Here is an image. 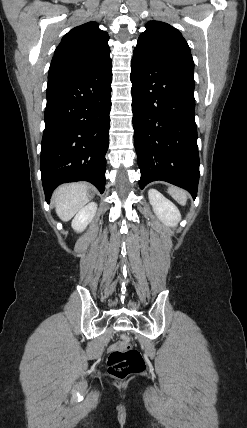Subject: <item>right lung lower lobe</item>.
I'll list each match as a JSON object with an SVG mask.
<instances>
[{"label":"right lung lower lobe","instance_id":"98d812e1","mask_svg":"<svg viewBox=\"0 0 247 428\" xmlns=\"http://www.w3.org/2000/svg\"><path fill=\"white\" fill-rule=\"evenodd\" d=\"M112 60L68 78L49 81L41 144L46 201L61 183L85 180L105 189Z\"/></svg>","mask_w":247,"mask_h":428}]
</instances>
